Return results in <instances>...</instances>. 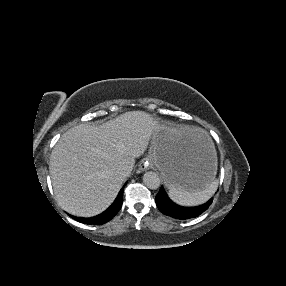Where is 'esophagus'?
<instances>
[{
  "mask_svg": "<svg viewBox=\"0 0 286 286\" xmlns=\"http://www.w3.org/2000/svg\"><path fill=\"white\" fill-rule=\"evenodd\" d=\"M152 167L151 161H148L147 159L143 160L139 164V170L140 171H146Z\"/></svg>",
  "mask_w": 286,
  "mask_h": 286,
  "instance_id": "obj_1",
  "label": "esophagus"
}]
</instances>
